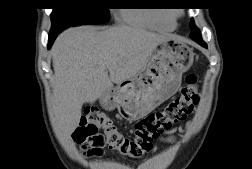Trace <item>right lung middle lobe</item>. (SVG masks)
Here are the masks:
<instances>
[{"mask_svg": "<svg viewBox=\"0 0 252 169\" xmlns=\"http://www.w3.org/2000/svg\"><path fill=\"white\" fill-rule=\"evenodd\" d=\"M51 31L110 20L107 0H54Z\"/></svg>", "mask_w": 252, "mask_h": 169, "instance_id": "obj_1", "label": "right lung middle lobe"}]
</instances>
